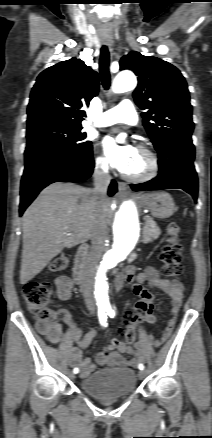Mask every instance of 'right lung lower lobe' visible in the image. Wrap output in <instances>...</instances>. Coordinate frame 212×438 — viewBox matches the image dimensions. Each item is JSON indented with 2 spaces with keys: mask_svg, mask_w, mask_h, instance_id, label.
<instances>
[{
  "mask_svg": "<svg viewBox=\"0 0 212 438\" xmlns=\"http://www.w3.org/2000/svg\"><path fill=\"white\" fill-rule=\"evenodd\" d=\"M93 169L92 146L84 149L27 146L21 180L20 216L47 185L57 181H84L92 175ZM116 191L117 184L112 180L108 193L112 196Z\"/></svg>",
  "mask_w": 212,
  "mask_h": 438,
  "instance_id": "obj_1",
  "label": "right lung lower lobe"
}]
</instances>
